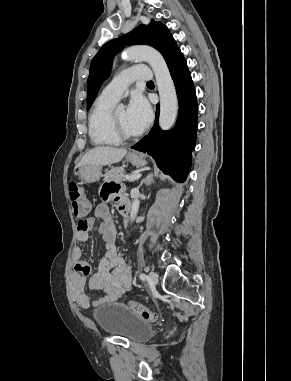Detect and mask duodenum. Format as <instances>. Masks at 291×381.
Returning <instances> with one entry per match:
<instances>
[{"label": "duodenum", "instance_id": "1", "mask_svg": "<svg viewBox=\"0 0 291 381\" xmlns=\"http://www.w3.org/2000/svg\"><path fill=\"white\" fill-rule=\"evenodd\" d=\"M128 210H129V208H128V206H126L125 212L128 213Z\"/></svg>", "mask_w": 291, "mask_h": 381}]
</instances>
